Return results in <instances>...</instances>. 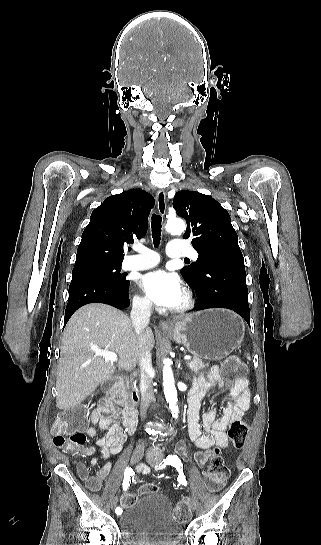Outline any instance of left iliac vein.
<instances>
[{"instance_id": "1", "label": "left iliac vein", "mask_w": 321, "mask_h": 545, "mask_svg": "<svg viewBox=\"0 0 321 545\" xmlns=\"http://www.w3.org/2000/svg\"><path fill=\"white\" fill-rule=\"evenodd\" d=\"M161 460H162V457L157 454H150L147 456V461L151 466H158ZM189 506L192 511H195L197 508V501L193 496L189 498Z\"/></svg>"}]
</instances>
